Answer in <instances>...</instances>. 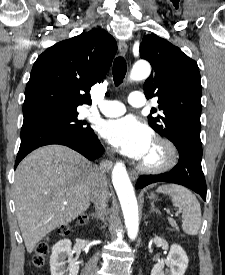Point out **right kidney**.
I'll return each instance as SVG.
<instances>
[{
  "label": "right kidney",
  "instance_id": "obj_1",
  "mask_svg": "<svg viewBox=\"0 0 225 275\" xmlns=\"http://www.w3.org/2000/svg\"><path fill=\"white\" fill-rule=\"evenodd\" d=\"M66 263H69L67 269L65 268ZM50 271L51 275L78 274L79 264L73 259V251L69 239L60 240L53 246L50 257Z\"/></svg>",
  "mask_w": 225,
  "mask_h": 275
}]
</instances>
